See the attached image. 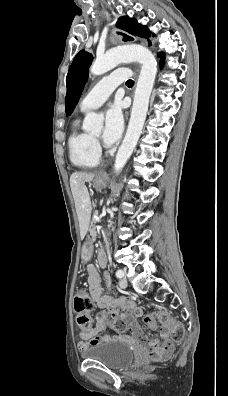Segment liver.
I'll list each match as a JSON object with an SVG mask.
<instances>
[{"mask_svg": "<svg viewBox=\"0 0 228 396\" xmlns=\"http://www.w3.org/2000/svg\"><path fill=\"white\" fill-rule=\"evenodd\" d=\"M94 176V174L83 172H75L70 176V187L75 202L82 238H84L87 232L91 213V200L85 182H91Z\"/></svg>", "mask_w": 228, "mask_h": 396, "instance_id": "6515ba94", "label": "liver"}]
</instances>
